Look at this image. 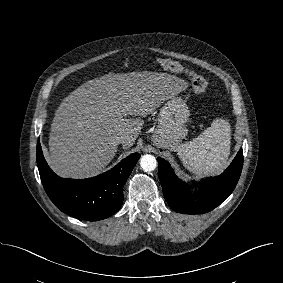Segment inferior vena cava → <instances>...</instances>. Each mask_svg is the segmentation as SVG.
Instances as JSON below:
<instances>
[{
  "instance_id": "602c4592",
  "label": "inferior vena cava",
  "mask_w": 283,
  "mask_h": 283,
  "mask_svg": "<svg viewBox=\"0 0 283 283\" xmlns=\"http://www.w3.org/2000/svg\"><path fill=\"white\" fill-rule=\"evenodd\" d=\"M115 142L117 144H124L126 142V138L124 136H118L115 138Z\"/></svg>"
}]
</instances>
